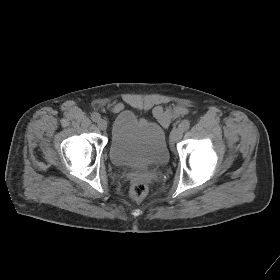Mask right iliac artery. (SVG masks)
<instances>
[{
	"instance_id": "1",
	"label": "right iliac artery",
	"mask_w": 280,
	"mask_h": 280,
	"mask_svg": "<svg viewBox=\"0 0 280 280\" xmlns=\"http://www.w3.org/2000/svg\"><path fill=\"white\" fill-rule=\"evenodd\" d=\"M100 118H101V116H100V114L97 113V112H94V113L91 114V119H92L94 122L99 121Z\"/></svg>"
}]
</instances>
